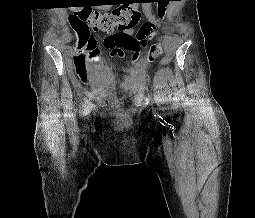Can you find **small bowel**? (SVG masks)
I'll list each match as a JSON object with an SVG mask.
<instances>
[{
	"mask_svg": "<svg viewBox=\"0 0 255 218\" xmlns=\"http://www.w3.org/2000/svg\"><path fill=\"white\" fill-rule=\"evenodd\" d=\"M145 12H146V15H147V18L150 22H152L154 25H156L158 23V19L151 13L150 9L148 7H145ZM165 13V7H160L159 8V16L160 18L163 17ZM128 33L130 34H134L136 32V29L133 28V29H130L127 31ZM112 35H109L105 38L104 42H103V45L106 47V40L108 38H110Z\"/></svg>",
	"mask_w": 255,
	"mask_h": 218,
	"instance_id": "c3829d8e",
	"label": "small bowel"
}]
</instances>
